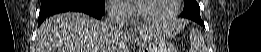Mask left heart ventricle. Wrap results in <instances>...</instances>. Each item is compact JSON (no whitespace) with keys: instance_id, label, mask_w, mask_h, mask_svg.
Masks as SVG:
<instances>
[{"instance_id":"b2bd125f","label":"left heart ventricle","mask_w":261,"mask_h":52,"mask_svg":"<svg viewBox=\"0 0 261 52\" xmlns=\"http://www.w3.org/2000/svg\"><path fill=\"white\" fill-rule=\"evenodd\" d=\"M174 8L173 0L139 1V12L147 17L160 18L168 15Z\"/></svg>"}]
</instances>
